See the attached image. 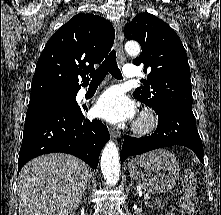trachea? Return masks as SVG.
Masks as SVG:
<instances>
[{
    "label": "trachea",
    "mask_w": 221,
    "mask_h": 215,
    "mask_svg": "<svg viewBox=\"0 0 221 215\" xmlns=\"http://www.w3.org/2000/svg\"><path fill=\"white\" fill-rule=\"evenodd\" d=\"M108 73H110L116 79H122L121 71L117 66L115 50H112L109 53L102 65L96 71L90 73V77L92 78L91 83L102 82Z\"/></svg>",
    "instance_id": "1"
}]
</instances>
